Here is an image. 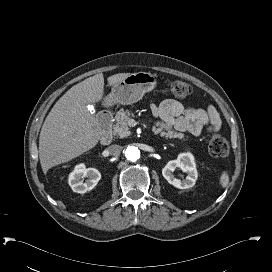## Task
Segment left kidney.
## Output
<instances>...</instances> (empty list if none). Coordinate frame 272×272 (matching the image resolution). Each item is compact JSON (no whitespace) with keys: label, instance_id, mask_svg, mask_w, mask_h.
I'll use <instances>...</instances> for the list:
<instances>
[{"label":"left kidney","instance_id":"obj_1","mask_svg":"<svg viewBox=\"0 0 272 272\" xmlns=\"http://www.w3.org/2000/svg\"><path fill=\"white\" fill-rule=\"evenodd\" d=\"M176 168H180L183 172L187 173L184 180L175 178L173 172ZM163 177L176 188L188 189L195 185L198 178V172L194 161V156L187 153H180L176 160L169 161L162 169Z\"/></svg>","mask_w":272,"mask_h":272}]
</instances>
